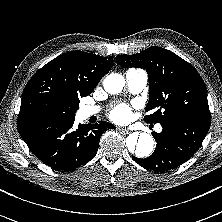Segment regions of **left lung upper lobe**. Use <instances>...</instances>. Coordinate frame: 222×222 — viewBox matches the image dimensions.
Instances as JSON below:
<instances>
[{
    "label": "left lung upper lobe",
    "instance_id": "left-lung-upper-lobe-1",
    "mask_svg": "<svg viewBox=\"0 0 222 222\" xmlns=\"http://www.w3.org/2000/svg\"><path fill=\"white\" fill-rule=\"evenodd\" d=\"M124 68L139 67L149 75L148 123L173 117L196 116L211 119L205 83L196 69L181 57L160 47H150L134 55H118Z\"/></svg>",
    "mask_w": 222,
    "mask_h": 222
}]
</instances>
